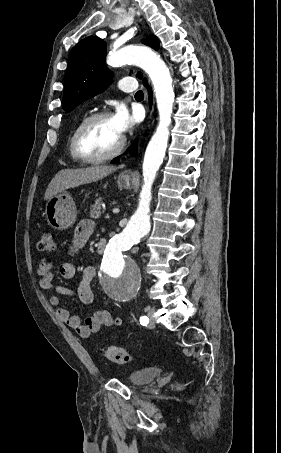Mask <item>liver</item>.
<instances>
[{"label": "liver", "mask_w": 281, "mask_h": 453, "mask_svg": "<svg viewBox=\"0 0 281 453\" xmlns=\"http://www.w3.org/2000/svg\"><path fill=\"white\" fill-rule=\"evenodd\" d=\"M115 170H117V166H107V164H96V166H87V168H63L49 182L44 198L48 200L65 188H74V186L87 184V182H96V180H101Z\"/></svg>", "instance_id": "obj_1"}]
</instances>
